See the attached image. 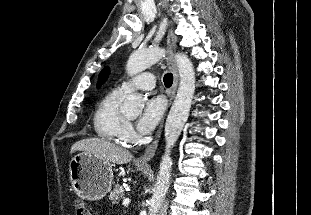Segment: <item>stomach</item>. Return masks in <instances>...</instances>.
<instances>
[{
	"instance_id": "obj_1",
	"label": "stomach",
	"mask_w": 311,
	"mask_h": 215,
	"mask_svg": "<svg viewBox=\"0 0 311 215\" xmlns=\"http://www.w3.org/2000/svg\"><path fill=\"white\" fill-rule=\"evenodd\" d=\"M143 167H138L142 171ZM71 185L82 199L99 200L111 190L112 165L84 152L75 155L69 163Z\"/></svg>"
}]
</instances>
